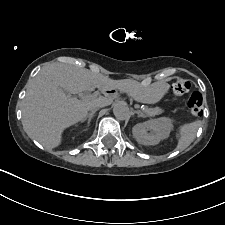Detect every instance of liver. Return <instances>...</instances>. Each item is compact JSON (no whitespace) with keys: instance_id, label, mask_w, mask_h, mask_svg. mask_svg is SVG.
<instances>
[{"instance_id":"1","label":"liver","mask_w":225,"mask_h":225,"mask_svg":"<svg viewBox=\"0 0 225 225\" xmlns=\"http://www.w3.org/2000/svg\"><path fill=\"white\" fill-rule=\"evenodd\" d=\"M103 93L122 88L118 81L95 74L87 69L66 64H52L43 67L27 84L22 105V124L27 135L47 149L58 147L62 142L64 129L83 121L89 108L100 98L111 104L110 97H87L77 99L69 94H82L95 88ZM132 97L146 103L148 91L130 89Z\"/></svg>"}]
</instances>
